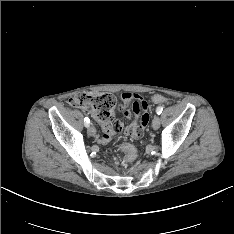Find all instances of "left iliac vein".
Segmentation results:
<instances>
[{"label":"left iliac vein","instance_id":"1","mask_svg":"<svg viewBox=\"0 0 234 234\" xmlns=\"http://www.w3.org/2000/svg\"><path fill=\"white\" fill-rule=\"evenodd\" d=\"M152 127L154 130L159 129L160 127V117L158 115H155L152 120Z\"/></svg>","mask_w":234,"mask_h":234}]
</instances>
